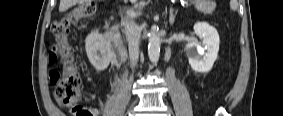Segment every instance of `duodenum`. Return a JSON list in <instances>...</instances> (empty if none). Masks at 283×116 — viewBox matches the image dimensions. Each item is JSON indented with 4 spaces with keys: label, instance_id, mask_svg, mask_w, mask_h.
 Here are the masks:
<instances>
[{
    "label": "duodenum",
    "instance_id": "410a0bca",
    "mask_svg": "<svg viewBox=\"0 0 283 116\" xmlns=\"http://www.w3.org/2000/svg\"><path fill=\"white\" fill-rule=\"evenodd\" d=\"M115 15H116V13H112L111 16H110V20H113Z\"/></svg>",
    "mask_w": 283,
    "mask_h": 116
}]
</instances>
